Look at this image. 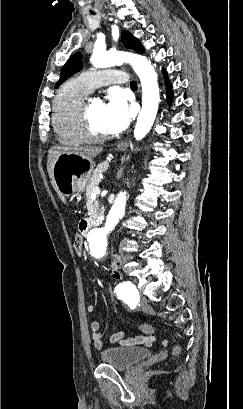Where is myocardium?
<instances>
[{
	"label": "myocardium",
	"mask_w": 243,
	"mask_h": 409,
	"mask_svg": "<svg viewBox=\"0 0 243 409\" xmlns=\"http://www.w3.org/2000/svg\"><path fill=\"white\" fill-rule=\"evenodd\" d=\"M88 105H89V100L87 98H84V100L82 101L80 105V109H79V119H80L81 129L83 131V134L86 140H89V141L102 140L105 137V134H100L93 130L91 123H90Z\"/></svg>",
	"instance_id": "myocardium-1"
}]
</instances>
